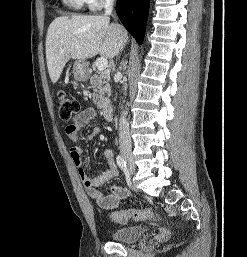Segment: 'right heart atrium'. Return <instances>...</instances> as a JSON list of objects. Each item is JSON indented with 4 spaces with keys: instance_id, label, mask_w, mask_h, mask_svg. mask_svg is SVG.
Masks as SVG:
<instances>
[{
    "instance_id": "obj_1",
    "label": "right heart atrium",
    "mask_w": 247,
    "mask_h": 257,
    "mask_svg": "<svg viewBox=\"0 0 247 257\" xmlns=\"http://www.w3.org/2000/svg\"><path fill=\"white\" fill-rule=\"evenodd\" d=\"M84 5L94 11L102 7L108 0H82Z\"/></svg>"
}]
</instances>
